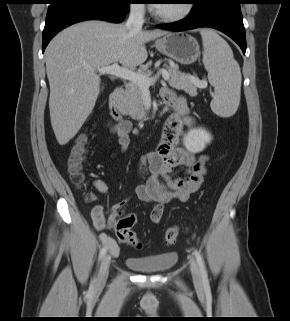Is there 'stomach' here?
Instances as JSON below:
<instances>
[{"label":"stomach","mask_w":290,"mask_h":321,"mask_svg":"<svg viewBox=\"0 0 290 321\" xmlns=\"http://www.w3.org/2000/svg\"><path fill=\"white\" fill-rule=\"evenodd\" d=\"M156 49L183 65L194 63L200 56L197 40L185 32L168 33L155 41Z\"/></svg>","instance_id":"0dacf381"}]
</instances>
